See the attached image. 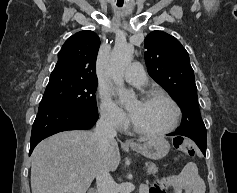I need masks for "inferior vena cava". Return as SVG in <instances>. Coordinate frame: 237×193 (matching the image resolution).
Segmentation results:
<instances>
[{
  "instance_id": "inferior-vena-cava-1",
  "label": "inferior vena cava",
  "mask_w": 237,
  "mask_h": 193,
  "mask_svg": "<svg viewBox=\"0 0 237 193\" xmlns=\"http://www.w3.org/2000/svg\"><path fill=\"white\" fill-rule=\"evenodd\" d=\"M115 120L109 114H102L97 121L94 131V137L98 143L101 153L106 150L110 140L114 139L117 135L115 128ZM96 183L98 193H116V183L110 175L109 171L100 166L96 174Z\"/></svg>"
}]
</instances>
